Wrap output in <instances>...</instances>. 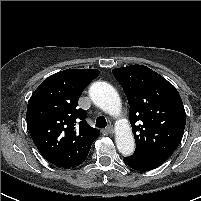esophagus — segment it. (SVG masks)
Segmentation results:
<instances>
[{"label": "esophagus", "mask_w": 201, "mask_h": 201, "mask_svg": "<svg viewBox=\"0 0 201 201\" xmlns=\"http://www.w3.org/2000/svg\"><path fill=\"white\" fill-rule=\"evenodd\" d=\"M105 131L108 134H112L114 132L113 126L112 125L107 126L106 129H105Z\"/></svg>", "instance_id": "esophagus-1"}]
</instances>
